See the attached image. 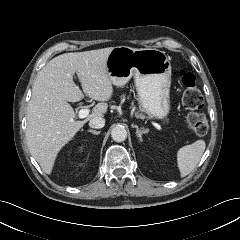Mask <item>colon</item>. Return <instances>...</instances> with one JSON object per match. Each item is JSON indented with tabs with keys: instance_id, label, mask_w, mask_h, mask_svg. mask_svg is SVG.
I'll return each mask as SVG.
<instances>
[{
	"instance_id": "1",
	"label": "colon",
	"mask_w": 240,
	"mask_h": 240,
	"mask_svg": "<svg viewBox=\"0 0 240 240\" xmlns=\"http://www.w3.org/2000/svg\"><path fill=\"white\" fill-rule=\"evenodd\" d=\"M182 89L181 101L185 109L189 110L186 122L189 129L198 136H204L208 132V122L206 118L199 113L203 105V97L201 91L197 87L195 76L185 70L178 72Z\"/></svg>"
}]
</instances>
